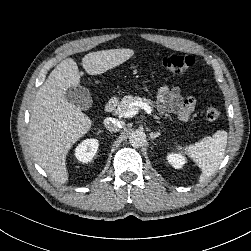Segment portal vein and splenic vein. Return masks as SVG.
Listing matches in <instances>:
<instances>
[{
    "mask_svg": "<svg viewBox=\"0 0 251 251\" xmlns=\"http://www.w3.org/2000/svg\"><path fill=\"white\" fill-rule=\"evenodd\" d=\"M139 108L145 110L148 115H150L152 112V109L148 103L143 101H135L129 104L128 110L123 115H120V117H133L138 113Z\"/></svg>",
    "mask_w": 251,
    "mask_h": 251,
    "instance_id": "18ae733b",
    "label": "portal vein and splenic vein"
}]
</instances>
